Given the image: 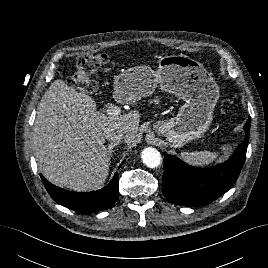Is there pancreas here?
<instances>
[{"mask_svg":"<svg viewBox=\"0 0 268 268\" xmlns=\"http://www.w3.org/2000/svg\"><path fill=\"white\" fill-rule=\"evenodd\" d=\"M155 103H158L159 102V99L156 98L155 100H153ZM152 102V101H151Z\"/></svg>","mask_w":268,"mask_h":268,"instance_id":"cf45deb5","label":"pancreas"}]
</instances>
